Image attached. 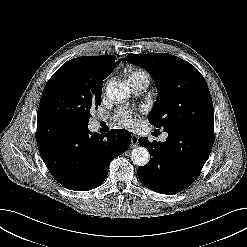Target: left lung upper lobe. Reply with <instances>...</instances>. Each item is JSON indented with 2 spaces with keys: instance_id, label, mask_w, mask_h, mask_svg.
I'll use <instances>...</instances> for the list:
<instances>
[{
  "instance_id": "5c2ea615",
  "label": "left lung upper lobe",
  "mask_w": 247,
  "mask_h": 247,
  "mask_svg": "<svg viewBox=\"0 0 247 247\" xmlns=\"http://www.w3.org/2000/svg\"><path fill=\"white\" fill-rule=\"evenodd\" d=\"M155 80L158 98L148 120L165 132L214 133L213 103L202 74L190 63L169 53L127 55Z\"/></svg>"
}]
</instances>
